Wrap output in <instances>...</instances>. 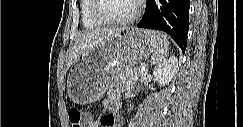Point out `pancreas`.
Instances as JSON below:
<instances>
[{"instance_id": "1", "label": "pancreas", "mask_w": 243, "mask_h": 127, "mask_svg": "<svg viewBox=\"0 0 243 127\" xmlns=\"http://www.w3.org/2000/svg\"><path fill=\"white\" fill-rule=\"evenodd\" d=\"M140 68H126L115 74L117 80H121L125 83L126 89L131 91L134 89V86L137 80L142 76Z\"/></svg>"}]
</instances>
